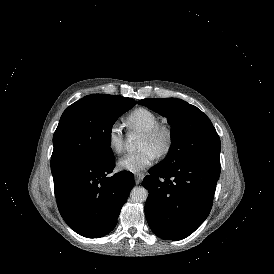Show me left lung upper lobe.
I'll return each mask as SVG.
<instances>
[{"label": "left lung upper lobe", "instance_id": "left-lung-upper-lobe-1", "mask_svg": "<svg viewBox=\"0 0 274 274\" xmlns=\"http://www.w3.org/2000/svg\"><path fill=\"white\" fill-rule=\"evenodd\" d=\"M139 104L166 117L172 126V145L163 166L193 159L220 160V139L210 119L197 107L177 98H147Z\"/></svg>", "mask_w": 274, "mask_h": 274}]
</instances>
